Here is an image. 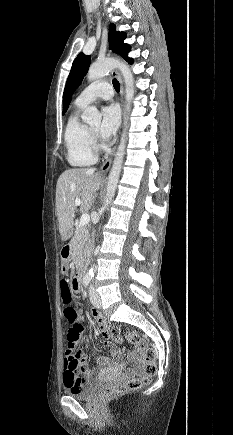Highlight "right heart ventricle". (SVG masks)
Listing matches in <instances>:
<instances>
[{
    "label": "right heart ventricle",
    "instance_id": "obj_1",
    "mask_svg": "<svg viewBox=\"0 0 233 435\" xmlns=\"http://www.w3.org/2000/svg\"><path fill=\"white\" fill-rule=\"evenodd\" d=\"M82 107L76 104V109L71 113L64 132L67 160L75 167L91 166L97 161L89 128L79 116Z\"/></svg>",
    "mask_w": 233,
    "mask_h": 435
}]
</instances>
